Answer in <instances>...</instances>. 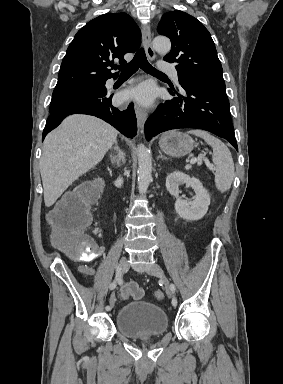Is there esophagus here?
<instances>
[{
    "label": "esophagus",
    "instance_id": "34e87169",
    "mask_svg": "<svg viewBox=\"0 0 283 384\" xmlns=\"http://www.w3.org/2000/svg\"><path fill=\"white\" fill-rule=\"evenodd\" d=\"M141 31H142L143 45H144L146 54L150 60H154L155 52L152 47L151 31H150L149 25H142ZM135 114L137 117L138 127L142 129L144 127L148 113L144 108L140 107L139 105H136Z\"/></svg>",
    "mask_w": 283,
    "mask_h": 384
}]
</instances>
